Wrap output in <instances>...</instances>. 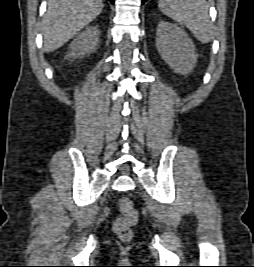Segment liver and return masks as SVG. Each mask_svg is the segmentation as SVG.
I'll list each match as a JSON object with an SVG mask.
<instances>
[{
	"label": "liver",
	"instance_id": "1",
	"mask_svg": "<svg viewBox=\"0 0 254 267\" xmlns=\"http://www.w3.org/2000/svg\"><path fill=\"white\" fill-rule=\"evenodd\" d=\"M103 7L102 0H49L42 21L43 51L60 48L92 22Z\"/></svg>",
	"mask_w": 254,
	"mask_h": 267
}]
</instances>
